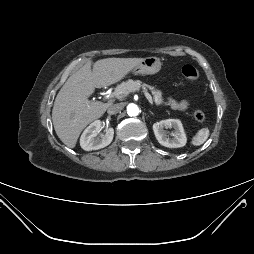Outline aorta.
Masks as SVG:
<instances>
[{"label": "aorta", "mask_w": 254, "mask_h": 254, "mask_svg": "<svg viewBox=\"0 0 254 254\" xmlns=\"http://www.w3.org/2000/svg\"><path fill=\"white\" fill-rule=\"evenodd\" d=\"M127 113L130 116H136V115H138L139 114V108H138V106L135 105V104H129L127 106Z\"/></svg>", "instance_id": "762f6f07"}]
</instances>
